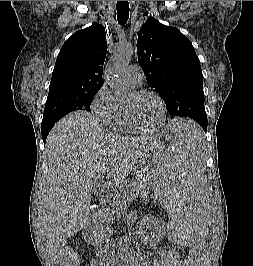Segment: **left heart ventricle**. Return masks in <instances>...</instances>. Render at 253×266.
Segmentation results:
<instances>
[{
    "label": "left heart ventricle",
    "instance_id": "obj_1",
    "mask_svg": "<svg viewBox=\"0 0 253 266\" xmlns=\"http://www.w3.org/2000/svg\"><path fill=\"white\" fill-rule=\"evenodd\" d=\"M126 104L132 108L140 126L152 128L159 124L162 110L159 101L153 95L135 97L131 94Z\"/></svg>",
    "mask_w": 253,
    "mask_h": 266
}]
</instances>
